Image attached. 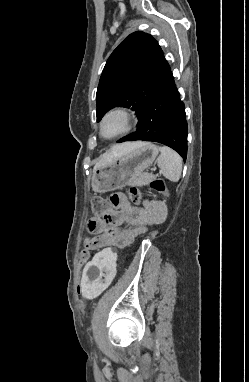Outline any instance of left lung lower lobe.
I'll return each mask as SVG.
<instances>
[{
  "label": "left lung lower lobe",
  "mask_w": 249,
  "mask_h": 382,
  "mask_svg": "<svg viewBox=\"0 0 249 382\" xmlns=\"http://www.w3.org/2000/svg\"><path fill=\"white\" fill-rule=\"evenodd\" d=\"M135 140L162 143L177 151L186 160V115L171 70L139 119L136 132L118 142Z\"/></svg>",
  "instance_id": "1"
}]
</instances>
